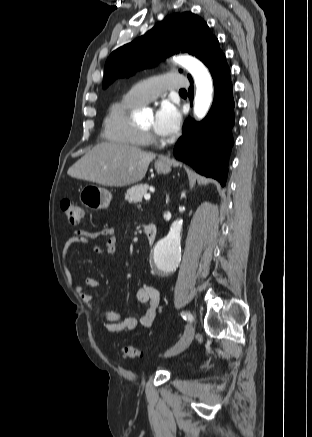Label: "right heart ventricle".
<instances>
[{
    "label": "right heart ventricle",
    "instance_id": "right-heart-ventricle-1",
    "mask_svg": "<svg viewBox=\"0 0 312 437\" xmlns=\"http://www.w3.org/2000/svg\"><path fill=\"white\" fill-rule=\"evenodd\" d=\"M140 106L142 105L131 101L126 96L112 104L103 123L104 137L118 145L144 146L146 137L131 119V112Z\"/></svg>",
    "mask_w": 312,
    "mask_h": 437
}]
</instances>
